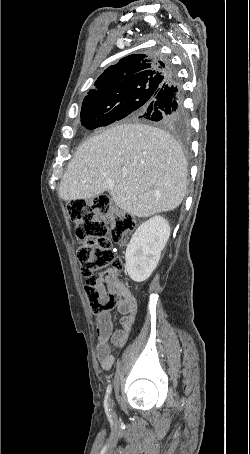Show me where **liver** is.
I'll return each mask as SVG.
<instances>
[{"mask_svg":"<svg viewBox=\"0 0 250 454\" xmlns=\"http://www.w3.org/2000/svg\"><path fill=\"white\" fill-rule=\"evenodd\" d=\"M187 189V164L166 131L139 123L113 126L84 142L68 164L59 194L64 201L108 191L137 217L176 209Z\"/></svg>","mask_w":250,"mask_h":454,"instance_id":"obj_1","label":"liver"}]
</instances>
